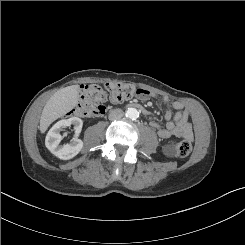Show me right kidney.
Segmentation results:
<instances>
[{
    "mask_svg": "<svg viewBox=\"0 0 245 245\" xmlns=\"http://www.w3.org/2000/svg\"><path fill=\"white\" fill-rule=\"evenodd\" d=\"M71 125H74L75 137L69 143L60 145L62 139L60 131ZM82 125L83 122L78 117L58 121L47 133L45 145L48 150L62 160H69L75 157L83 148V141L78 138Z\"/></svg>",
    "mask_w": 245,
    "mask_h": 245,
    "instance_id": "right-kidney-1",
    "label": "right kidney"
}]
</instances>
